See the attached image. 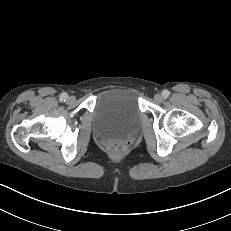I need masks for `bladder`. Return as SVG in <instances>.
I'll use <instances>...</instances> for the list:
<instances>
[{
    "mask_svg": "<svg viewBox=\"0 0 231 231\" xmlns=\"http://www.w3.org/2000/svg\"><path fill=\"white\" fill-rule=\"evenodd\" d=\"M141 114L137 90H105L95 99L92 111L93 132L102 140L128 137L138 127Z\"/></svg>",
    "mask_w": 231,
    "mask_h": 231,
    "instance_id": "obj_1",
    "label": "bladder"
}]
</instances>
